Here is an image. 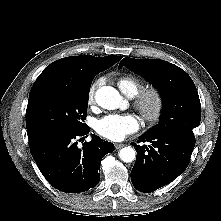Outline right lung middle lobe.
Wrapping results in <instances>:
<instances>
[{
    "mask_svg": "<svg viewBox=\"0 0 221 221\" xmlns=\"http://www.w3.org/2000/svg\"><path fill=\"white\" fill-rule=\"evenodd\" d=\"M104 71L100 70L99 72ZM97 72L95 75H97ZM89 82L82 86L45 81L34 83L26 110L29 143L55 134H71L88 127Z\"/></svg>",
    "mask_w": 221,
    "mask_h": 221,
    "instance_id": "right-lung-middle-lobe-1",
    "label": "right lung middle lobe"
}]
</instances>
